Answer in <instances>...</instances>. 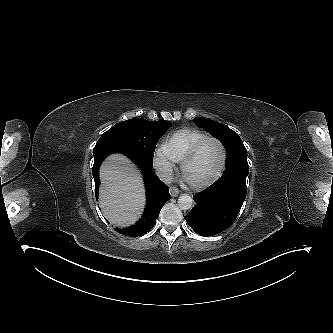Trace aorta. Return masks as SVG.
Segmentation results:
<instances>
[{"label":"aorta","instance_id":"1","mask_svg":"<svg viewBox=\"0 0 333 333\" xmlns=\"http://www.w3.org/2000/svg\"><path fill=\"white\" fill-rule=\"evenodd\" d=\"M178 205L182 210H189L193 206V199L187 194H183L178 198Z\"/></svg>","mask_w":333,"mask_h":333}]
</instances>
